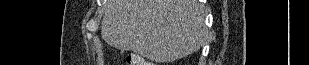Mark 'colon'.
<instances>
[{"label": "colon", "instance_id": "5ec220e1", "mask_svg": "<svg viewBox=\"0 0 309 65\" xmlns=\"http://www.w3.org/2000/svg\"><path fill=\"white\" fill-rule=\"evenodd\" d=\"M128 64L129 65H133V64H145V65L147 64V65H150L148 63H144L143 60L141 58H139V57L129 60Z\"/></svg>", "mask_w": 309, "mask_h": 65}]
</instances>
